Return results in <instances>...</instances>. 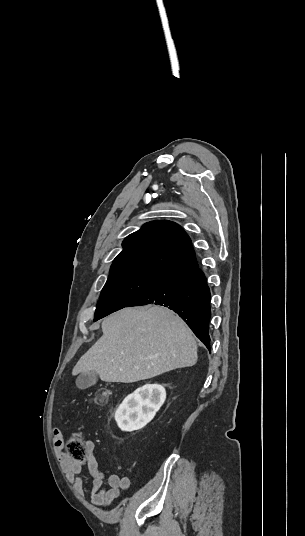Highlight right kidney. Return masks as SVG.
Segmentation results:
<instances>
[{"label": "right kidney", "instance_id": "1", "mask_svg": "<svg viewBox=\"0 0 305 536\" xmlns=\"http://www.w3.org/2000/svg\"><path fill=\"white\" fill-rule=\"evenodd\" d=\"M166 400V390L160 384H145L130 394L119 406L115 420L124 432L144 428L153 420Z\"/></svg>", "mask_w": 305, "mask_h": 536}]
</instances>
